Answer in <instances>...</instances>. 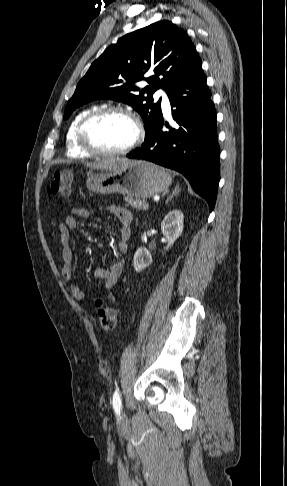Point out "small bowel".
<instances>
[{
    "label": "small bowel",
    "mask_w": 287,
    "mask_h": 486,
    "mask_svg": "<svg viewBox=\"0 0 287 486\" xmlns=\"http://www.w3.org/2000/svg\"><path fill=\"white\" fill-rule=\"evenodd\" d=\"M119 221V240L117 242V250L120 254H125L128 251V241L131 236V222L132 214L125 208L119 206H112L109 208ZM76 217L89 219L92 217V212L87 208H73L67 214L63 221L59 222L57 227L60 235V242L62 246L61 257L63 261L62 278L67 284L71 295L74 299L84 300L85 292L73 281L72 278V260L73 252L70 246L71 234L77 228ZM124 268V261L118 260L112 263L108 268H97L94 271V276L103 281L104 289L110 290L118 281Z\"/></svg>",
    "instance_id": "small-bowel-1"
}]
</instances>
